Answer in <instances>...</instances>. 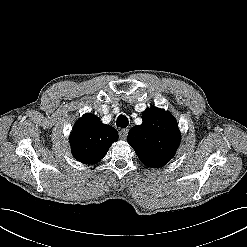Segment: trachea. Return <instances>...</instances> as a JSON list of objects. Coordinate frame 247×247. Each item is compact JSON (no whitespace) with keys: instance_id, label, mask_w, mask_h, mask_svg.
Masks as SVG:
<instances>
[{"instance_id":"1","label":"trachea","mask_w":247,"mask_h":247,"mask_svg":"<svg viewBox=\"0 0 247 247\" xmlns=\"http://www.w3.org/2000/svg\"><path fill=\"white\" fill-rule=\"evenodd\" d=\"M129 124L128 118L125 115H119L116 120V125L120 128H126Z\"/></svg>"}]
</instances>
